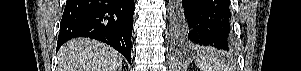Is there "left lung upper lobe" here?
Listing matches in <instances>:
<instances>
[{
	"label": "left lung upper lobe",
	"instance_id": "left-lung-upper-lobe-1",
	"mask_svg": "<svg viewBox=\"0 0 301 71\" xmlns=\"http://www.w3.org/2000/svg\"><path fill=\"white\" fill-rule=\"evenodd\" d=\"M172 37H173V39H175V35L174 34H172Z\"/></svg>",
	"mask_w": 301,
	"mask_h": 71
}]
</instances>
